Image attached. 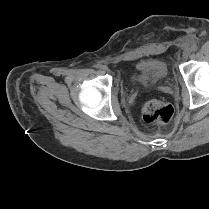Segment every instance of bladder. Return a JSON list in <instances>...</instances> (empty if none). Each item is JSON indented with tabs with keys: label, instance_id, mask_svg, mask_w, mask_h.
<instances>
[{
	"label": "bladder",
	"instance_id": "31cf9c89",
	"mask_svg": "<svg viewBox=\"0 0 209 209\" xmlns=\"http://www.w3.org/2000/svg\"><path fill=\"white\" fill-rule=\"evenodd\" d=\"M168 70L166 64L159 59L139 60L131 74V80L141 86H149L166 80Z\"/></svg>",
	"mask_w": 209,
	"mask_h": 209
}]
</instances>
